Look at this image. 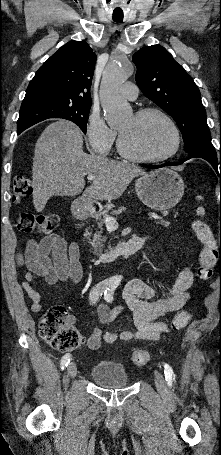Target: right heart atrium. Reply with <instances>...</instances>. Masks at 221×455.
<instances>
[{
	"mask_svg": "<svg viewBox=\"0 0 221 455\" xmlns=\"http://www.w3.org/2000/svg\"><path fill=\"white\" fill-rule=\"evenodd\" d=\"M86 137L93 153L106 155L115 142L116 131L99 114L91 113L86 125Z\"/></svg>",
	"mask_w": 221,
	"mask_h": 455,
	"instance_id": "right-heart-atrium-1",
	"label": "right heart atrium"
}]
</instances>
